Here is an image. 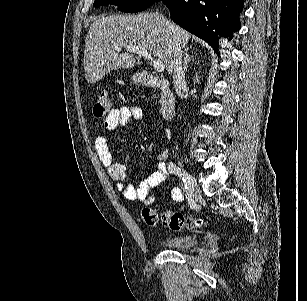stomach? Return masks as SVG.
Masks as SVG:
<instances>
[{
    "label": "stomach",
    "instance_id": "0dacf381",
    "mask_svg": "<svg viewBox=\"0 0 307 301\" xmlns=\"http://www.w3.org/2000/svg\"><path fill=\"white\" fill-rule=\"evenodd\" d=\"M132 80H134V82H136V84H140V82H142V76H141L140 72H136V74H133Z\"/></svg>",
    "mask_w": 307,
    "mask_h": 301
}]
</instances>
